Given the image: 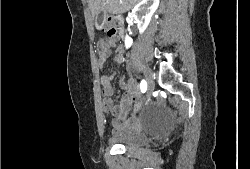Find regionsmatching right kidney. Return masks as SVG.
Returning a JSON list of instances; mask_svg holds the SVG:
<instances>
[{
    "label": "right kidney",
    "mask_w": 250,
    "mask_h": 169,
    "mask_svg": "<svg viewBox=\"0 0 250 169\" xmlns=\"http://www.w3.org/2000/svg\"><path fill=\"white\" fill-rule=\"evenodd\" d=\"M159 6V0H140L134 8H132V18L137 22L140 34L146 30L156 8ZM133 40L126 34L125 46L130 48Z\"/></svg>",
    "instance_id": "1"
}]
</instances>
